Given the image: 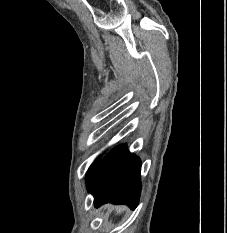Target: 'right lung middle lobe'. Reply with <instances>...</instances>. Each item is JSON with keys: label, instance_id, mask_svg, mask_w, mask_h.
Wrapping results in <instances>:
<instances>
[{"label": "right lung middle lobe", "instance_id": "right-lung-middle-lobe-1", "mask_svg": "<svg viewBox=\"0 0 227 233\" xmlns=\"http://www.w3.org/2000/svg\"><path fill=\"white\" fill-rule=\"evenodd\" d=\"M96 164V162L94 163V165ZM94 165H92L90 168H89V170H88V172H87V175L90 173V171L93 169V167H94Z\"/></svg>", "mask_w": 227, "mask_h": 233}]
</instances>
